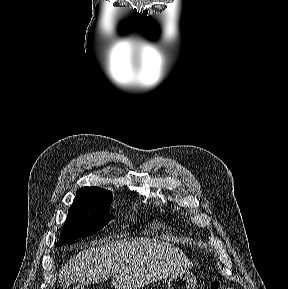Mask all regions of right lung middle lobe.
<instances>
[{
	"label": "right lung middle lobe",
	"instance_id": "1",
	"mask_svg": "<svg viewBox=\"0 0 288 289\" xmlns=\"http://www.w3.org/2000/svg\"><path fill=\"white\" fill-rule=\"evenodd\" d=\"M111 201V192L97 197H76L56 246L74 243L78 238L94 235L101 230L112 219L109 214Z\"/></svg>",
	"mask_w": 288,
	"mask_h": 289
}]
</instances>
